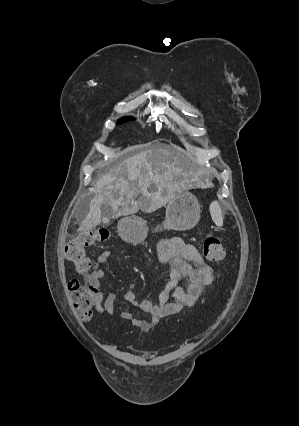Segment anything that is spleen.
<instances>
[{"label":"spleen","mask_w":299,"mask_h":426,"mask_svg":"<svg viewBox=\"0 0 299 426\" xmlns=\"http://www.w3.org/2000/svg\"><path fill=\"white\" fill-rule=\"evenodd\" d=\"M211 218L216 226H223V215L221 211V207L217 201H213L209 206Z\"/></svg>","instance_id":"spleen-1"}]
</instances>
